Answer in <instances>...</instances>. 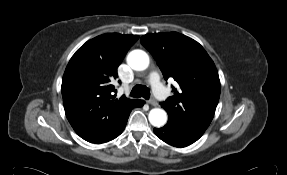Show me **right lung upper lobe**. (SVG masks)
<instances>
[{
	"label": "right lung upper lobe",
	"mask_w": 287,
	"mask_h": 175,
	"mask_svg": "<svg viewBox=\"0 0 287 175\" xmlns=\"http://www.w3.org/2000/svg\"><path fill=\"white\" fill-rule=\"evenodd\" d=\"M138 38L103 34L86 42L70 59L61 86L64 109L84 140L93 143L110 133L141 101L113 95L117 68Z\"/></svg>",
	"instance_id": "cb5924a9"
}]
</instances>
